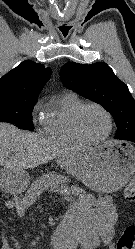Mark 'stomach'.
Here are the masks:
<instances>
[{
    "mask_svg": "<svg viewBox=\"0 0 135 249\" xmlns=\"http://www.w3.org/2000/svg\"><path fill=\"white\" fill-rule=\"evenodd\" d=\"M58 164L92 190L113 193L122 189L135 172V147L124 142H106L61 157ZM6 179L18 191L29 183V176L23 170H8ZM48 180L61 181L53 175Z\"/></svg>",
    "mask_w": 135,
    "mask_h": 249,
    "instance_id": "stomach-1",
    "label": "stomach"
}]
</instances>
